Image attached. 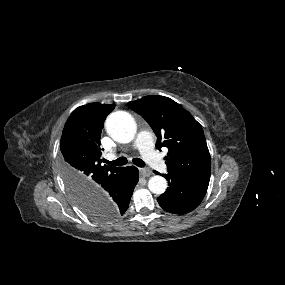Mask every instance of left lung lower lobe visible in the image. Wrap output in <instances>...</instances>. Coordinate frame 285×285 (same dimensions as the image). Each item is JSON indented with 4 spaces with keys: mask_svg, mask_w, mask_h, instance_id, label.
I'll list each match as a JSON object with an SVG mask.
<instances>
[{
    "mask_svg": "<svg viewBox=\"0 0 285 285\" xmlns=\"http://www.w3.org/2000/svg\"><path fill=\"white\" fill-rule=\"evenodd\" d=\"M162 176L167 179L169 187L157 198V201L167 212L174 214L191 212L201 203L206 194L208 184L186 180L173 173L162 174Z\"/></svg>",
    "mask_w": 285,
    "mask_h": 285,
    "instance_id": "left-lung-lower-lobe-1",
    "label": "left lung lower lobe"
}]
</instances>
